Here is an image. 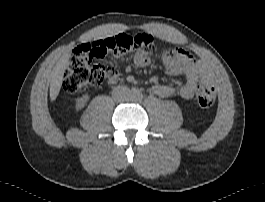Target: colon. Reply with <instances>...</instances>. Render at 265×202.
<instances>
[{
  "instance_id": "5ec220e1",
  "label": "colon",
  "mask_w": 265,
  "mask_h": 202,
  "mask_svg": "<svg viewBox=\"0 0 265 202\" xmlns=\"http://www.w3.org/2000/svg\"><path fill=\"white\" fill-rule=\"evenodd\" d=\"M93 47L102 54H123L135 50L151 55L155 51L153 38L146 34L130 36L118 33L93 42ZM119 75V70L112 65L98 63L92 57L73 55L63 74V88L69 93L76 94L88 86H99L115 80ZM216 96L214 87H199L197 90V101L201 108L212 107Z\"/></svg>"
}]
</instances>
